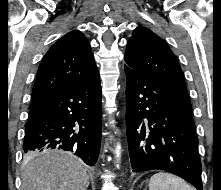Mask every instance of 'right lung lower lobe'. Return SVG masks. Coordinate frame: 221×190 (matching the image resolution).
<instances>
[{
  "label": "right lung lower lobe",
  "instance_id": "right-lung-lower-lobe-1",
  "mask_svg": "<svg viewBox=\"0 0 221 190\" xmlns=\"http://www.w3.org/2000/svg\"><path fill=\"white\" fill-rule=\"evenodd\" d=\"M102 130L99 74L31 102L23 150L61 149L94 166Z\"/></svg>",
  "mask_w": 221,
  "mask_h": 190
}]
</instances>
